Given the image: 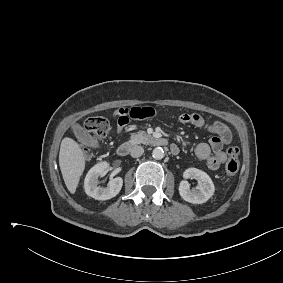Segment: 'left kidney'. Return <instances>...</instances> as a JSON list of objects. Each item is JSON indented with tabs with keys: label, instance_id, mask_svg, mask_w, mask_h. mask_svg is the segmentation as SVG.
Listing matches in <instances>:
<instances>
[{
	"label": "left kidney",
	"instance_id": "1",
	"mask_svg": "<svg viewBox=\"0 0 283 283\" xmlns=\"http://www.w3.org/2000/svg\"><path fill=\"white\" fill-rule=\"evenodd\" d=\"M183 177L195 178L199 181L197 189L191 190L186 180L180 182L179 194L187 202L202 204L208 201L215 192L214 184L209 175L196 168H188L184 171Z\"/></svg>",
	"mask_w": 283,
	"mask_h": 283
}]
</instances>
